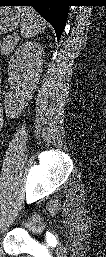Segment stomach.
<instances>
[{
  "label": "stomach",
  "instance_id": "obj_1",
  "mask_svg": "<svg viewBox=\"0 0 106 257\" xmlns=\"http://www.w3.org/2000/svg\"><path fill=\"white\" fill-rule=\"evenodd\" d=\"M21 18L16 7H0V33L14 30Z\"/></svg>",
  "mask_w": 106,
  "mask_h": 257
}]
</instances>
